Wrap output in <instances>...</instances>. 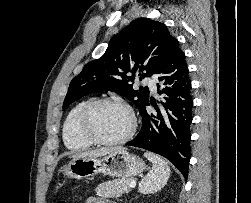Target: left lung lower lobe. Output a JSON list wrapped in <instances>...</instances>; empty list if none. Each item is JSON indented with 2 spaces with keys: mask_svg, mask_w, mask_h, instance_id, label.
Returning <instances> with one entry per match:
<instances>
[{
  "mask_svg": "<svg viewBox=\"0 0 251 203\" xmlns=\"http://www.w3.org/2000/svg\"><path fill=\"white\" fill-rule=\"evenodd\" d=\"M160 84L159 92L163 94L162 108L155 107V113H148L146 106L140 111L142 128L138 135L126 145L143 148L170 160L180 172L187 177L190 160V141L193 100L191 82L185 62V55L177 39L171 50L157 69Z\"/></svg>",
  "mask_w": 251,
  "mask_h": 203,
  "instance_id": "0a47b994",
  "label": "left lung lower lobe"
}]
</instances>
